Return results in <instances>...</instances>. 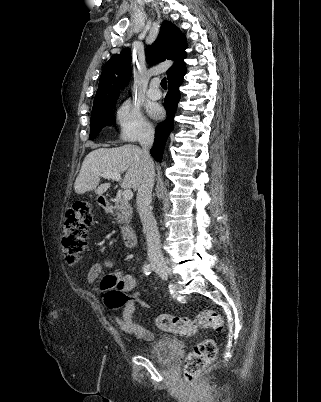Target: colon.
I'll return each mask as SVG.
<instances>
[{
	"label": "colon",
	"instance_id": "5ec220e1",
	"mask_svg": "<svg viewBox=\"0 0 321 402\" xmlns=\"http://www.w3.org/2000/svg\"><path fill=\"white\" fill-rule=\"evenodd\" d=\"M92 222V211L87 203H77L66 211L62 230V245L67 261L72 265L78 262L79 256L85 248ZM129 300V296L119 289H110L104 294V303L111 311H115ZM53 319H57L56 314L53 315ZM155 322L157 327L163 331L183 335H191L198 329H213L220 332L224 327L223 318L214 310H202L194 319L161 314L157 316ZM217 353L218 348L214 340L206 339L197 343L184 361L185 380L193 381L216 359Z\"/></svg>",
	"mask_w": 321,
	"mask_h": 402
}]
</instances>
